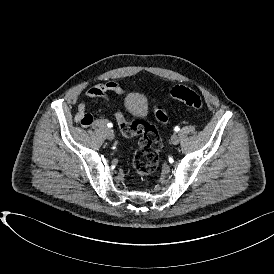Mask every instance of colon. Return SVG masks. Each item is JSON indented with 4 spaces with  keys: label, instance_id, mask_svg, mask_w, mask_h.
Here are the masks:
<instances>
[{
    "label": "colon",
    "instance_id": "colon-1",
    "mask_svg": "<svg viewBox=\"0 0 274 274\" xmlns=\"http://www.w3.org/2000/svg\"><path fill=\"white\" fill-rule=\"evenodd\" d=\"M170 95L174 100L194 109L203 108L201 97L189 86L177 85L172 88ZM153 115L158 123H166L169 120L168 114L162 107L153 108ZM114 117L124 137L132 138L141 135V141L132 163L135 173L141 178L153 174L158 166L159 151L162 147L155 125L144 118L129 122L119 111L114 113ZM79 123L82 124V120H79Z\"/></svg>",
    "mask_w": 274,
    "mask_h": 274
}]
</instances>
